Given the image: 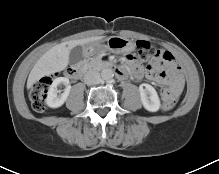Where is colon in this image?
<instances>
[{"instance_id":"5ec220e1","label":"colon","mask_w":219,"mask_h":174,"mask_svg":"<svg viewBox=\"0 0 219 174\" xmlns=\"http://www.w3.org/2000/svg\"><path fill=\"white\" fill-rule=\"evenodd\" d=\"M156 55L153 46L147 41H137L135 48V56L138 62H146ZM53 81L52 75H47L35 81L30 89L29 98L33 109L37 112L45 110V99L49 86ZM175 103L170 100L163 101L162 109L170 111L174 108Z\"/></svg>"}]
</instances>
